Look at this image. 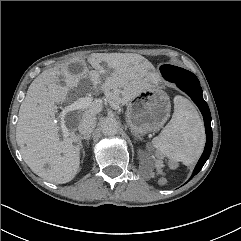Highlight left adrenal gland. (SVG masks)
<instances>
[{
  "instance_id": "1",
  "label": "left adrenal gland",
  "mask_w": 241,
  "mask_h": 241,
  "mask_svg": "<svg viewBox=\"0 0 241 241\" xmlns=\"http://www.w3.org/2000/svg\"><path fill=\"white\" fill-rule=\"evenodd\" d=\"M135 137H137V138H139V139H142L139 135H138V136L135 135Z\"/></svg>"
}]
</instances>
